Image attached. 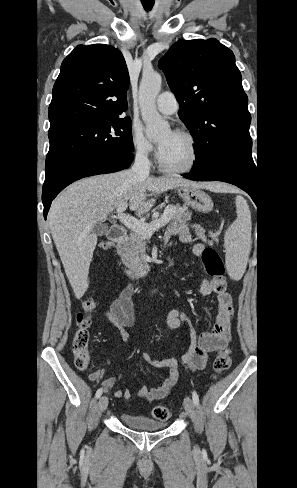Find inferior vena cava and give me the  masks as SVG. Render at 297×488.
I'll return each mask as SVG.
<instances>
[{
	"label": "inferior vena cava",
	"instance_id": "inferior-vena-cava-1",
	"mask_svg": "<svg viewBox=\"0 0 297 488\" xmlns=\"http://www.w3.org/2000/svg\"><path fill=\"white\" fill-rule=\"evenodd\" d=\"M151 163L148 159V154L145 149H139L135 156L132 171L141 177H147L150 172Z\"/></svg>",
	"mask_w": 297,
	"mask_h": 488
}]
</instances>
